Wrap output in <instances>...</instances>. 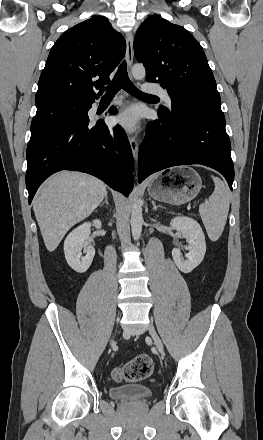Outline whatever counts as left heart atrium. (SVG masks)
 <instances>
[{"instance_id":"39dd6f15","label":"left heart atrium","mask_w":263,"mask_h":440,"mask_svg":"<svg viewBox=\"0 0 263 440\" xmlns=\"http://www.w3.org/2000/svg\"><path fill=\"white\" fill-rule=\"evenodd\" d=\"M139 112L135 108H130L120 113L112 119V124L119 126L127 131L134 130L139 122Z\"/></svg>"}]
</instances>
